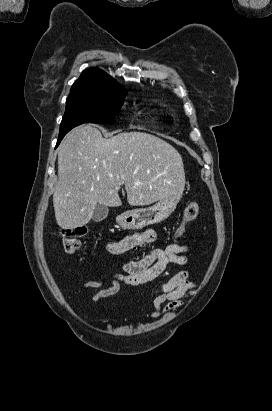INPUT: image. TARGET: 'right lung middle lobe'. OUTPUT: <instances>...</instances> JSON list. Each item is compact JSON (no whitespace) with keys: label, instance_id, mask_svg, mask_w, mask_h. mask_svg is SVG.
<instances>
[{"label":"right lung middle lobe","instance_id":"dd1d6c3e","mask_svg":"<svg viewBox=\"0 0 272 411\" xmlns=\"http://www.w3.org/2000/svg\"><path fill=\"white\" fill-rule=\"evenodd\" d=\"M126 95L127 91L116 88L70 94L60 124L59 137L86 122H111L123 105Z\"/></svg>","mask_w":272,"mask_h":411}]
</instances>
